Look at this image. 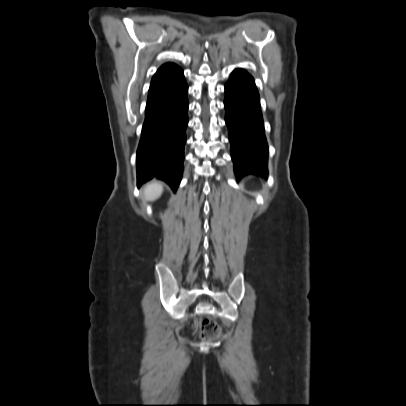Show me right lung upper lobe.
Listing matches in <instances>:
<instances>
[{"label":"right lung upper lobe","instance_id":"right-lung-upper-lobe-1","mask_svg":"<svg viewBox=\"0 0 406 406\" xmlns=\"http://www.w3.org/2000/svg\"><path fill=\"white\" fill-rule=\"evenodd\" d=\"M174 67H177V65H175V64H173V63L164 64V65L156 72V74L153 76L151 83H152V82H155V81H158V80H160V79H162V78H164V77L169 73V71H170L172 68H174Z\"/></svg>","mask_w":406,"mask_h":406}]
</instances>
